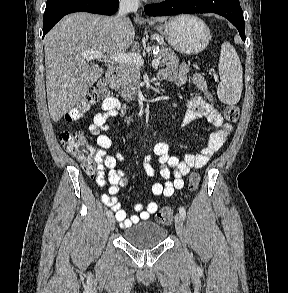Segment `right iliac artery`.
<instances>
[{
	"mask_svg": "<svg viewBox=\"0 0 288 293\" xmlns=\"http://www.w3.org/2000/svg\"><path fill=\"white\" fill-rule=\"evenodd\" d=\"M106 215H107L108 217L112 216V211H110V210L107 211Z\"/></svg>",
	"mask_w": 288,
	"mask_h": 293,
	"instance_id": "obj_1",
	"label": "right iliac artery"
}]
</instances>
